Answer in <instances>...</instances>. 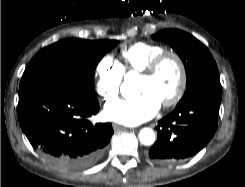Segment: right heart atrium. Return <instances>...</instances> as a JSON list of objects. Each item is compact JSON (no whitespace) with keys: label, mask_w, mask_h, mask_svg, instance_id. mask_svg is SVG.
I'll return each mask as SVG.
<instances>
[{"label":"right heart atrium","mask_w":245,"mask_h":187,"mask_svg":"<svg viewBox=\"0 0 245 187\" xmlns=\"http://www.w3.org/2000/svg\"><path fill=\"white\" fill-rule=\"evenodd\" d=\"M120 64L110 55L103 56L95 68L96 92L104 102L115 101L120 94L123 80Z\"/></svg>","instance_id":"right-heart-atrium-1"}]
</instances>
